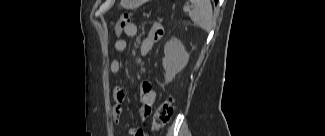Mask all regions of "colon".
<instances>
[{
	"instance_id": "obj_1",
	"label": "colon",
	"mask_w": 325,
	"mask_h": 136,
	"mask_svg": "<svg viewBox=\"0 0 325 136\" xmlns=\"http://www.w3.org/2000/svg\"><path fill=\"white\" fill-rule=\"evenodd\" d=\"M132 14L130 12L124 13L118 19L115 26V34L117 37H120L124 29L131 24ZM173 115V105L171 99L163 101L157 108L153 121H152V130L154 132L159 131L163 128L170 120Z\"/></svg>"
}]
</instances>
